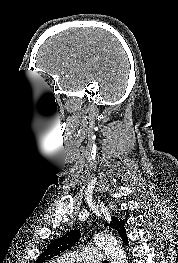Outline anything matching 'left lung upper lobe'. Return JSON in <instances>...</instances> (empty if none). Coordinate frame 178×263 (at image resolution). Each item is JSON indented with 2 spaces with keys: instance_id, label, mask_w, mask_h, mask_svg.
<instances>
[{
  "instance_id": "left-lung-upper-lobe-1",
  "label": "left lung upper lobe",
  "mask_w": 178,
  "mask_h": 263,
  "mask_svg": "<svg viewBox=\"0 0 178 263\" xmlns=\"http://www.w3.org/2000/svg\"><path fill=\"white\" fill-rule=\"evenodd\" d=\"M108 225H110L113 229L120 233L124 226V221H119L116 217H114L110 224H105V226ZM80 237L81 234L78 230H73L71 232L66 233L64 236L50 243L47 249L38 257L35 263H44L45 261L50 260L52 257L69 249L74 243H76L80 239Z\"/></svg>"
}]
</instances>
